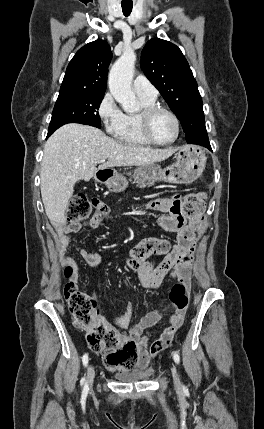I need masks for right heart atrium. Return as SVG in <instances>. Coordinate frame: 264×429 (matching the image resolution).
<instances>
[{
  "instance_id": "1",
  "label": "right heart atrium",
  "mask_w": 264,
  "mask_h": 429,
  "mask_svg": "<svg viewBox=\"0 0 264 429\" xmlns=\"http://www.w3.org/2000/svg\"><path fill=\"white\" fill-rule=\"evenodd\" d=\"M97 115L106 132L116 135L122 126L124 113L117 105L111 93L107 92L101 98L97 106Z\"/></svg>"
}]
</instances>
